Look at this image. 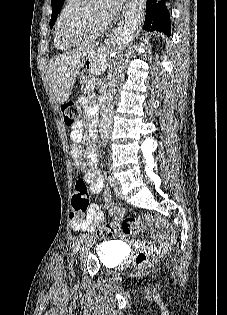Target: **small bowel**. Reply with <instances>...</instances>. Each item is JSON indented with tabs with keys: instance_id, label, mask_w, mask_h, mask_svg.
Segmentation results:
<instances>
[{
	"instance_id": "c3829d8e",
	"label": "small bowel",
	"mask_w": 227,
	"mask_h": 315,
	"mask_svg": "<svg viewBox=\"0 0 227 315\" xmlns=\"http://www.w3.org/2000/svg\"><path fill=\"white\" fill-rule=\"evenodd\" d=\"M73 142L70 154L74 161V167L78 173L84 174V181L89 185L91 192L98 193L103 189L104 182L98 169V161L93 144H90L87 149V161L81 158L83 139V129L81 125H75L70 133ZM106 201V208L111 214H117L119 209L117 206L110 202L108 193L104 194ZM104 213L96 204L91 205L84 217H71V227L75 231H93L95 226L103 222ZM162 228L165 230L166 235L160 236L150 247V250L158 251L171 245L174 241V233L171 226L164 222Z\"/></svg>"
}]
</instances>
